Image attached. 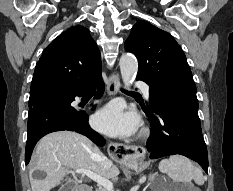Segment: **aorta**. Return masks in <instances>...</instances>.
Returning a JSON list of instances; mask_svg holds the SVG:
<instances>
[{"label": "aorta", "mask_w": 233, "mask_h": 191, "mask_svg": "<svg viewBox=\"0 0 233 191\" xmlns=\"http://www.w3.org/2000/svg\"><path fill=\"white\" fill-rule=\"evenodd\" d=\"M119 65L124 86L126 89H130L138 72L137 59L132 54H123Z\"/></svg>", "instance_id": "obj_1"}]
</instances>
